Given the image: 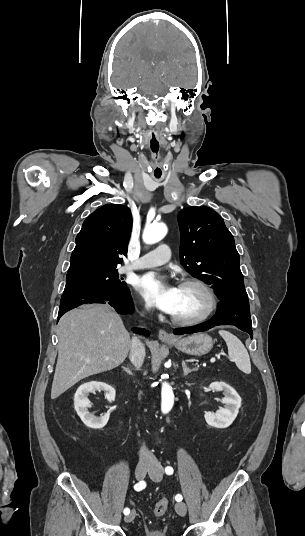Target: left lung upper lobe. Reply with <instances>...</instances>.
Wrapping results in <instances>:
<instances>
[{
  "label": "left lung upper lobe",
  "instance_id": "left-lung-upper-lobe-1",
  "mask_svg": "<svg viewBox=\"0 0 305 536\" xmlns=\"http://www.w3.org/2000/svg\"><path fill=\"white\" fill-rule=\"evenodd\" d=\"M178 222L184 268L210 284L221 301L248 298L240 257L223 218L208 207L193 206L179 212Z\"/></svg>",
  "mask_w": 305,
  "mask_h": 536
}]
</instances>
